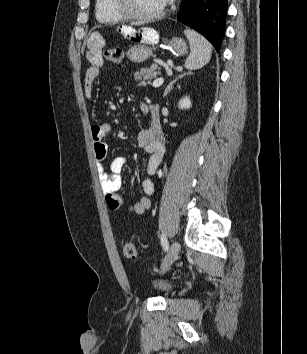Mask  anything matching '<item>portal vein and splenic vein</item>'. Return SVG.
I'll return each mask as SVG.
<instances>
[{
  "label": "portal vein and splenic vein",
  "instance_id": "18ae733b",
  "mask_svg": "<svg viewBox=\"0 0 307 354\" xmlns=\"http://www.w3.org/2000/svg\"><path fill=\"white\" fill-rule=\"evenodd\" d=\"M163 82H164V78H162V77L157 78V79H155L153 81L152 86L155 87V88L159 87V86H161L163 84Z\"/></svg>",
  "mask_w": 307,
  "mask_h": 354
}]
</instances>
